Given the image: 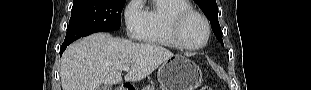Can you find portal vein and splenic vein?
Wrapping results in <instances>:
<instances>
[{"label":"portal vein and splenic vein","mask_w":311,"mask_h":90,"mask_svg":"<svg viewBox=\"0 0 311 90\" xmlns=\"http://www.w3.org/2000/svg\"><path fill=\"white\" fill-rule=\"evenodd\" d=\"M123 71H128L129 69H130V67L129 66H123Z\"/></svg>","instance_id":"1"}]
</instances>
